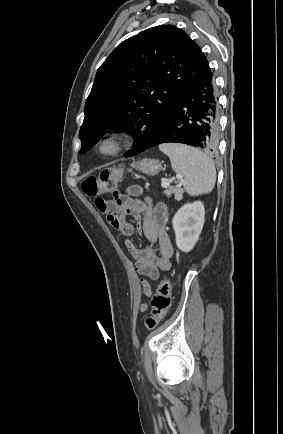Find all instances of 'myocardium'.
<instances>
[{"mask_svg":"<svg viewBox=\"0 0 283 434\" xmlns=\"http://www.w3.org/2000/svg\"><path fill=\"white\" fill-rule=\"evenodd\" d=\"M124 146L123 135L116 131L103 134L96 142L97 152L104 157H114L118 155Z\"/></svg>","mask_w":283,"mask_h":434,"instance_id":"obj_1","label":"myocardium"}]
</instances>
